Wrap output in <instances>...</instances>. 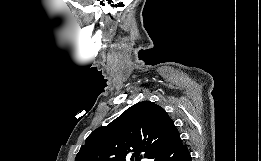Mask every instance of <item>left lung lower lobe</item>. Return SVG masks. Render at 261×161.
<instances>
[{
    "label": "left lung lower lobe",
    "instance_id": "obj_1",
    "mask_svg": "<svg viewBox=\"0 0 261 161\" xmlns=\"http://www.w3.org/2000/svg\"><path fill=\"white\" fill-rule=\"evenodd\" d=\"M149 159L153 161H192L190 152L182 143L177 130L166 144L153 151Z\"/></svg>",
    "mask_w": 261,
    "mask_h": 161
}]
</instances>
